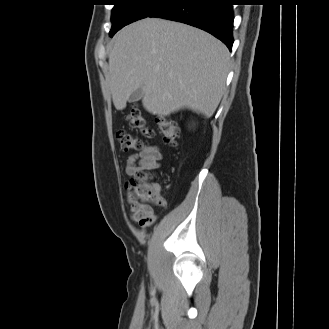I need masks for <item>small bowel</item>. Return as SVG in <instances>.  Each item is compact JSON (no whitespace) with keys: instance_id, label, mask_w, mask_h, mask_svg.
<instances>
[{"instance_id":"c3829d8e","label":"small bowel","mask_w":329,"mask_h":329,"mask_svg":"<svg viewBox=\"0 0 329 329\" xmlns=\"http://www.w3.org/2000/svg\"><path fill=\"white\" fill-rule=\"evenodd\" d=\"M163 154L156 146H146L138 154L128 157L126 161L125 171L128 175L135 174L140 171L157 169ZM155 189L160 192V185H155ZM126 200L130 212V218L133 222L138 223L141 227L151 226L156 221L153 209L145 210L144 206L135 202L127 192Z\"/></svg>"}]
</instances>
